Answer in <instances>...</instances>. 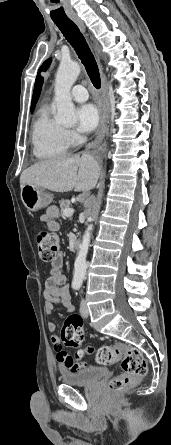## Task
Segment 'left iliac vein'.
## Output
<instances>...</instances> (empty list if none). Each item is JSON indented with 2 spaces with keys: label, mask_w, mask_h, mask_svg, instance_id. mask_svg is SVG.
I'll use <instances>...</instances> for the list:
<instances>
[{
  "label": "left iliac vein",
  "mask_w": 171,
  "mask_h": 445,
  "mask_svg": "<svg viewBox=\"0 0 171 445\" xmlns=\"http://www.w3.org/2000/svg\"><path fill=\"white\" fill-rule=\"evenodd\" d=\"M80 313L84 318H87L89 316V309H88L87 303L84 299H82V301H81Z\"/></svg>",
  "instance_id": "obj_1"
}]
</instances>
